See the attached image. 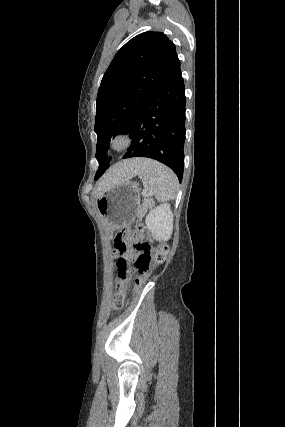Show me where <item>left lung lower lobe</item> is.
<instances>
[{
    "label": "left lung lower lobe",
    "mask_w": 285,
    "mask_h": 427,
    "mask_svg": "<svg viewBox=\"0 0 285 427\" xmlns=\"http://www.w3.org/2000/svg\"><path fill=\"white\" fill-rule=\"evenodd\" d=\"M185 89L180 61L174 65L136 115L128 132L132 146L123 158L148 157L169 166L183 178Z\"/></svg>",
    "instance_id": "0a47b994"
}]
</instances>
